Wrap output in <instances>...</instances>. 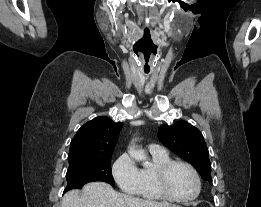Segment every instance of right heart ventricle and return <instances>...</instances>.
I'll list each match as a JSON object with an SVG mask.
<instances>
[{"label": "right heart ventricle", "instance_id": "right-heart-ventricle-1", "mask_svg": "<svg viewBox=\"0 0 261 207\" xmlns=\"http://www.w3.org/2000/svg\"><path fill=\"white\" fill-rule=\"evenodd\" d=\"M150 153L151 165L139 169L141 181L137 195L146 200H163L164 197L159 192L156 185L155 172L160 165L170 161L171 158L166 152Z\"/></svg>", "mask_w": 261, "mask_h": 207}]
</instances>
